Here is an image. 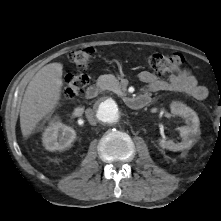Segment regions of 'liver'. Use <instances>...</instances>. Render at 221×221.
<instances>
[{"label":"liver","mask_w":221,"mask_h":221,"mask_svg":"<svg viewBox=\"0 0 221 221\" xmlns=\"http://www.w3.org/2000/svg\"><path fill=\"white\" fill-rule=\"evenodd\" d=\"M62 69L61 63L47 64L29 82L20 109V127L24 138L29 137L38 122L58 105L63 85Z\"/></svg>","instance_id":"obj_1"}]
</instances>
